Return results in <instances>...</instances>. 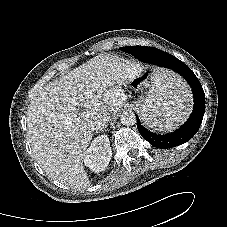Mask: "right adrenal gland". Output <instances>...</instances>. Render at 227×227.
Wrapping results in <instances>:
<instances>
[{
  "mask_svg": "<svg viewBox=\"0 0 227 227\" xmlns=\"http://www.w3.org/2000/svg\"><path fill=\"white\" fill-rule=\"evenodd\" d=\"M107 125L104 126L102 129H100L101 132H105V129H106Z\"/></svg>",
  "mask_w": 227,
  "mask_h": 227,
  "instance_id": "right-adrenal-gland-1",
  "label": "right adrenal gland"
}]
</instances>
